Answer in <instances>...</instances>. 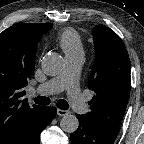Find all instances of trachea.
Masks as SVG:
<instances>
[{
  "instance_id": "trachea-1",
  "label": "trachea",
  "mask_w": 144,
  "mask_h": 144,
  "mask_svg": "<svg viewBox=\"0 0 144 144\" xmlns=\"http://www.w3.org/2000/svg\"><path fill=\"white\" fill-rule=\"evenodd\" d=\"M34 101L36 104H39V105H48L51 102L50 98L45 97V96H37L34 99ZM57 107L61 110H67L69 108V105L66 100L60 99L57 101Z\"/></svg>"
}]
</instances>
